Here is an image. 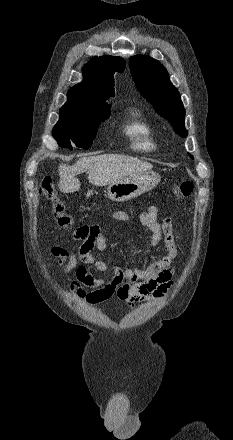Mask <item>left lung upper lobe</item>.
<instances>
[{"instance_id":"left-lung-upper-lobe-1","label":"left lung upper lobe","mask_w":233,"mask_h":440,"mask_svg":"<svg viewBox=\"0 0 233 440\" xmlns=\"http://www.w3.org/2000/svg\"><path fill=\"white\" fill-rule=\"evenodd\" d=\"M129 66L142 96L153 105L158 114L170 121L176 133L186 137L188 132L184 123L185 109L180 94L170 82L164 66L145 55L131 57Z\"/></svg>"}]
</instances>
